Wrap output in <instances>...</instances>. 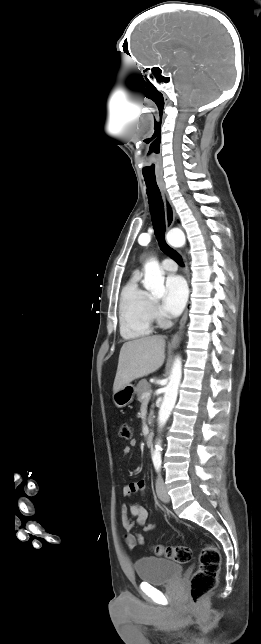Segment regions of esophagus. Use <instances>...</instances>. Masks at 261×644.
I'll use <instances>...</instances> for the list:
<instances>
[{"mask_svg":"<svg viewBox=\"0 0 261 644\" xmlns=\"http://www.w3.org/2000/svg\"><path fill=\"white\" fill-rule=\"evenodd\" d=\"M158 186H159V189L161 191V196H162L163 203H164V208H165L166 228H167V230H169L173 226L177 215H176L175 209L173 207V204H172V202L170 200V197H169V195L167 193V190L165 188L164 182L158 181ZM183 259H184V263H185L186 277H187V280L189 281L190 272H189L188 261H187V258L185 256H183ZM187 318H188V306L186 307V309L184 311V314H183V316H182V318L180 320L179 331L177 333H175L173 335L172 339H171V345L175 346V345H178L180 343V341L182 339V336H183V329L185 327Z\"/></svg>","mask_w":261,"mask_h":644,"instance_id":"esophagus-1","label":"esophagus"}]
</instances>
